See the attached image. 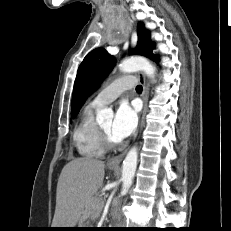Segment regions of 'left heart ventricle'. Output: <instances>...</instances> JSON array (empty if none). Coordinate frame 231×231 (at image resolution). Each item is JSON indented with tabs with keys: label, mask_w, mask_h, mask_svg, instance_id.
<instances>
[{
	"label": "left heart ventricle",
	"mask_w": 231,
	"mask_h": 231,
	"mask_svg": "<svg viewBox=\"0 0 231 231\" xmlns=\"http://www.w3.org/2000/svg\"><path fill=\"white\" fill-rule=\"evenodd\" d=\"M111 140H114L111 134L112 121H108L100 126ZM115 141V140H114Z\"/></svg>",
	"instance_id": "left-heart-ventricle-1"
}]
</instances>
